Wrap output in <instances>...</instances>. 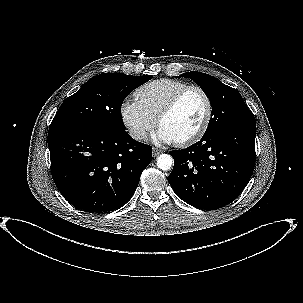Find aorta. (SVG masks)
<instances>
[{
    "label": "aorta",
    "mask_w": 303,
    "mask_h": 303,
    "mask_svg": "<svg viewBox=\"0 0 303 303\" xmlns=\"http://www.w3.org/2000/svg\"><path fill=\"white\" fill-rule=\"evenodd\" d=\"M173 164V158L169 154H161L157 158V166L161 170H169Z\"/></svg>",
    "instance_id": "aorta-1"
}]
</instances>
